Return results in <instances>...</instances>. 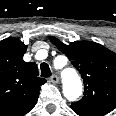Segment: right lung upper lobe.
Wrapping results in <instances>:
<instances>
[{
  "label": "right lung upper lobe",
  "mask_w": 116,
  "mask_h": 116,
  "mask_svg": "<svg viewBox=\"0 0 116 116\" xmlns=\"http://www.w3.org/2000/svg\"><path fill=\"white\" fill-rule=\"evenodd\" d=\"M27 46L17 38L0 41V116H23L36 104L46 79L35 63L25 62Z\"/></svg>",
  "instance_id": "right-lung-upper-lobe-1"
}]
</instances>
